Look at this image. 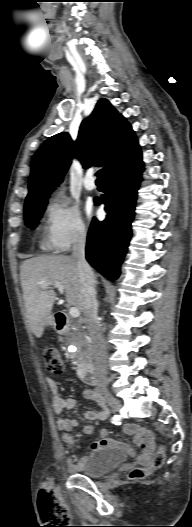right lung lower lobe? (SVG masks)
Wrapping results in <instances>:
<instances>
[{
	"mask_svg": "<svg viewBox=\"0 0 192 527\" xmlns=\"http://www.w3.org/2000/svg\"><path fill=\"white\" fill-rule=\"evenodd\" d=\"M143 171L138 146L105 174V194L96 205L105 204L106 219H94L87 236L86 258L107 279L115 280L129 245L137 190Z\"/></svg>",
	"mask_w": 192,
	"mask_h": 527,
	"instance_id": "1",
	"label": "right lung lower lobe"
}]
</instances>
